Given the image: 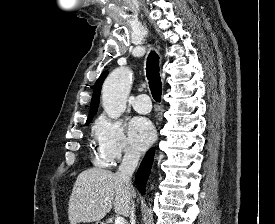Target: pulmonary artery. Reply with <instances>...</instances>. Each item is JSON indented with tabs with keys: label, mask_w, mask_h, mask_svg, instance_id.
Masks as SVG:
<instances>
[{
	"label": "pulmonary artery",
	"mask_w": 275,
	"mask_h": 224,
	"mask_svg": "<svg viewBox=\"0 0 275 224\" xmlns=\"http://www.w3.org/2000/svg\"><path fill=\"white\" fill-rule=\"evenodd\" d=\"M133 108L139 113H148L151 110V100L148 95L140 94L133 101Z\"/></svg>",
	"instance_id": "e3ab8cb5"
}]
</instances>
